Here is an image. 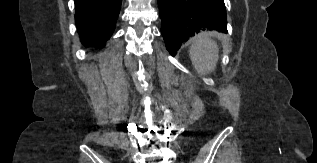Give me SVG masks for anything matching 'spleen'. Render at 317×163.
<instances>
[{"label":"spleen","mask_w":317,"mask_h":163,"mask_svg":"<svg viewBox=\"0 0 317 163\" xmlns=\"http://www.w3.org/2000/svg\"><path fill=\"white\" fill-rule=\"evenodd\" d=\"M219 48L207 33L194 37L189 55L198 74L206 75L214 71L218 62Z\"/></svg>","instance_id":"1"}]
</instances>
